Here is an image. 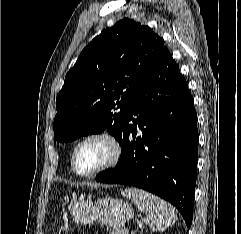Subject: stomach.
Segmentation results:
<instances>
[{
  "label": "stomach",
  "instance_id": "stomach-1",
  "mask_svg": "<svg viewBox=\"0 0 241 234\" xmlns=\"http://www.w3.org/2000/svg\"><path fill=\"white\" fill-rule=\"evenodd\" d=\"M71 215L77 224L99 222L110 228L121 229L133 217L134 211L122 199L106 197L92 201L81 198L73 203Z\"/></svg>",
  "mask_w": 241,
  "mask_h": 234
}]
</instances>
